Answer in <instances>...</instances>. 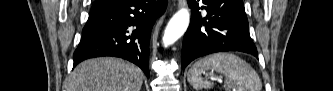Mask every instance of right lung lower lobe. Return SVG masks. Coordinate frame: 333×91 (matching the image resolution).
Returning <instances> with one entry per match:
<instances>
[{
  "label": "right lung lower lobe",
  "mask_w": 333,
  "mask_h": 91,
  "mask_svg": "<svg viewBox=\"0 0 333 91\" xmlns=\"http://www.w3.org/2000/svg\"><path fill=\"white\" fill-rule=\"evenodd\" d=\"M167 0H113L94 4L74 53V66L100 56H114L138 65L149 77V41L155 20Z\"/></svg>",
  "instance_id": "obj_1"
}]
</instances>
